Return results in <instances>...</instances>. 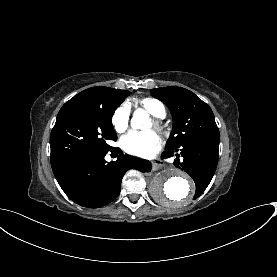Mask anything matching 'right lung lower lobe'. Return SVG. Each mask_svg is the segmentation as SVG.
<instances>
[{
	"label": "right lung lower lobe",
	"mask_w": 277,
	"mask_h": 277,
	"mask_svg": "<svg viewBox=\"0 0 277 277\" xmlns=\"http://www.w3.org/2000/svg\"><path fill=\"white\" fill-rule=\"evenodd\" d=\"M118 148L73 155L52 164L53 173L65 194L75 203L98 208L112 202L120 193L121 181L129 169L151 171V163L120 154L107 163L105 155ZM117 156V155H116Z\"/></svg>",
	"instance_id": "obj_1"
}]
</instances>
